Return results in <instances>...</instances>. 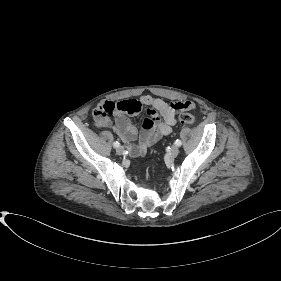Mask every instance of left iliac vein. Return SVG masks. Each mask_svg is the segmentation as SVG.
I'll return each instance as SVG.
<instances>
[{"mask_svg": "<svg viewBox=\"0 0 281 281\" xmlns=\"http://www.w3.org/2000/svg\"><path fill=\"white\" fill-rule=\"evenodd\" d=\"M178 153H179L178 146L177 145H173L171 150H170V156L174 158V157H176L178 155Z\"/></svg>", "mask_w": 281, "mask_h": 281, "instance_id": "4c4485c4", "label": "left iliac vein"}]
</instances>
